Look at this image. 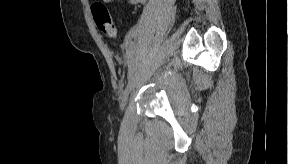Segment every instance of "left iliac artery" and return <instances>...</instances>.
<instances>
[{
	"instance_id": "left-iliac-artery-1",
	"label": "left iliac artery",
	"mask_w": 288,
	"mask_h": 164,
	"mask_svg": "<svg viewBox=\"0 0 288 164\" xmlns=\"http://www.w3.org/2000/svg\"><path fill=\"white\" fill-rule=\"evenodd\" d=\"M133 75H134V71H133V69H130L128 72V79L132 78Z\"/></svg>"
}]
</instances>
